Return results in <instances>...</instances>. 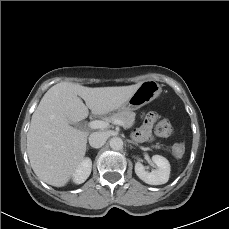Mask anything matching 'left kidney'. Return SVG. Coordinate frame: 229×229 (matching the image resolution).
<instances>
[{"instance_id":"1","label":"left kidney","mask_w":229,"mask_h":229,"mask_svg":"<svg viewBox=\"0 0 229 229\" xmlns=\"http://www.w3.org/2000/svg\"><path fill=\"white\" fill-rule=\"evenodd\" d=\"M152 161L157 166V169L148 172L141 162L135 163L136 175L145 183L150 185L165 184L169 180L170 175V163L169 161L160 155H154Z\"/></svg>"}]
</instances>
